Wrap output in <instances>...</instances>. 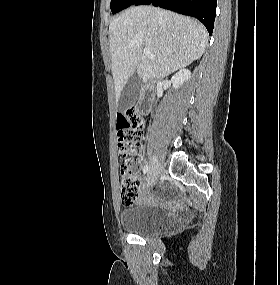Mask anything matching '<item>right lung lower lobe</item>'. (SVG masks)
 <instances>
[{
  "instance_id": "98d812e1",
  "label": "right lung lower lobe",
  "mask_w": 280,
  "mask_h": 285,
  "mask_svg": "<svg viewBox=\"0 0 280 285\" xmlns=\"http://www.w3.org/2000/svg\"><path fill=\"white\" fill-rule=\"evenodd\" d=\"M135 5L159 6L200 20L209 34L213 32L217 0H137Z\"/></svg>"
}]
</instances>
